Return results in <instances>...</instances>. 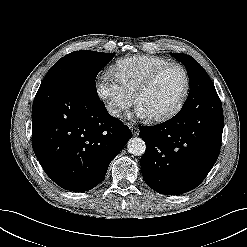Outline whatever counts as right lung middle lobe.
Returning a JSON list of instances; mask_svg holds the SVG:
<instances>
[{
    "label": "right lung middle lobe",
    "mask_w": 247,
    "mask_h": 247,
    "mask_svg": "<svg viewBox=\"0 0 247 247\" xmlns=\"http://www.w3.org/2000/svg\"><path fill=\"white\" fill-rule=\"evenodd\" d=\"M113 57V53L89 50L72 52L50 68L41 85L56 79L75 78L94 87L97 74Z\"/></svg>",
    "instance_id": "right-lung-middle-lobe-1"
}]
</instances>
